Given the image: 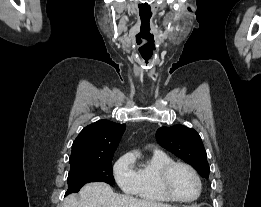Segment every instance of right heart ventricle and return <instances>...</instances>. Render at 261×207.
Listing matches in <instances>:
<instances>
[{"instance_id": "e07e8e85", "label": "right heart ventricle", "mask_w": 261, "mask_h": 207, "mask_svg": "<svg viewBox=\"0 0 261 207\" xmlns=\"http://www.w3.org/2000/svg\"><path fill=\"white\" fill-rule=\"evenodd\" d=\"M173 159L162 151H154L137 169L138 187L136 195L146 201L169 202L161 190L159 175L162 168Z\"/></svg>"}]
</instances>
